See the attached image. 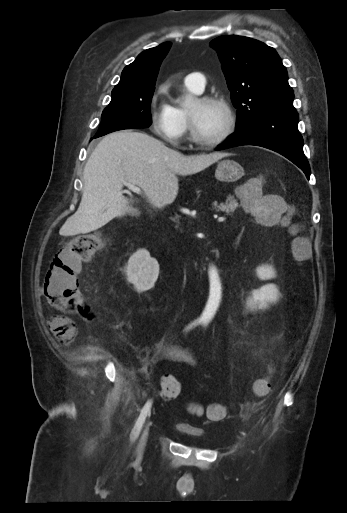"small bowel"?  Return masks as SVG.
Returning <instances> with one entry per match:
<instances>
[{"label":"small bowel","instance_id":"c3829d8e","mask_svg":"<svg viewBox=\"0 0 347 513\" xmlns=\"http://www.w3.org/2000/svg\"><path fill=\"white\" fill-rule=\"evenodd\" d=\"M49 328L53 336L62 346L70 345L77 334L75 324L65 316H52L48 320ZM154 358L165 357L176 363L195 365V357L186 349L170 345L158 344L153 351Z\"/></svg>","mask_w":347,"mask_h":513}]
</instances>
